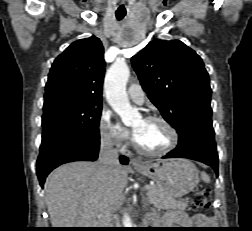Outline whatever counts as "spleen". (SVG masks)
Returning a JSON list of instances; mask_svg holds the SVG:
<instances>
[{
    "instance_id": "3e777b00",
    "label": "spleen",
    "mask_w": 252,
    "mask_h": 231,
    "mask_svg": "<svg viewBox=\"0 0 252 231\" xmlns=\"http://www.w3.org/2000/svg\"><path fill=\"white\" fill-rule=\"evenodd\" d=\"M201 178H202V180H204L207 183L210 182L209 176L207 174H205V173H202Z\"/></svg>"
}]
</instances>
